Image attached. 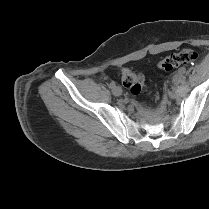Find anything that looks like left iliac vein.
I'll use <instances>...</instances> for the list:
<instances>
[{
	"instance_id": "4c4485c4",
	"label": "left iliac vein",
	"mask_w": 209,
	"mask_h": 209,
	"mask_svg": "<svg viewBox=\"0 0 209 209\" xmlns=\"http://www.w3.org/2000/svg\"><path fill=\"white\" fill-rule=\"evenodd\" d=\"M181 77H182V76H181V74H180V73H178V72H177V73H175V74H174V76H173V78H172V79H173V80H172V81H173V83H174V84H176V85H177V84H179V83H180V81H181V80H180V79H181Z\"/></svg>"
}]
</instances>
